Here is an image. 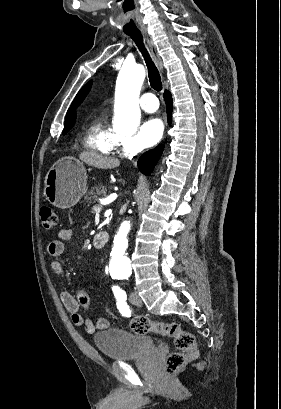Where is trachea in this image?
<instances>
[{
    "instance_id": "3493384b",
    "label": "trachea",
    "mask_w": 281,
    "mask_h": 409,
    "mask_svg": "<svg viewBox=\"0 0 281 409\" xmlns=\"http://www.w3.org/2000/svg\"><path fill=\"white\" fill-rule=\"evenodd\" d=\"M128 35L135 45L138 47L142 56L144 57L147 69H148V77L151 87L156 90V92H161L163 89V84L161 82V77L159 74V70L156 67L155 63L153 62L148 50L146 49L143 41V36L140 31L137 32H125Z\"/></svg>"
}]
</instances>
